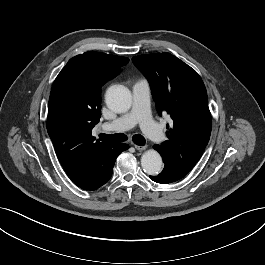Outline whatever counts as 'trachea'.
Segmentation results:
<instances>
[{"label":"trachea","instance_id":"obj_1","mask_svg":"<svg viewBox=\"0 0 265 265\" xmlns=\"http://www.w3.org/2000/svg\"><path fill=\"white\" fill-rule=\"evenodd\" d=\"M99 137L103 141L114 142V143L124 142L127 140V136L125 134H122V133L111 134V135L100 134ZM132 140L135 144L140 145V146L144 145L146 142L145 138L140 134L134 135L132 137Z\"/></svg>","mask_w":265,"mask_h":265}]
</instances>
